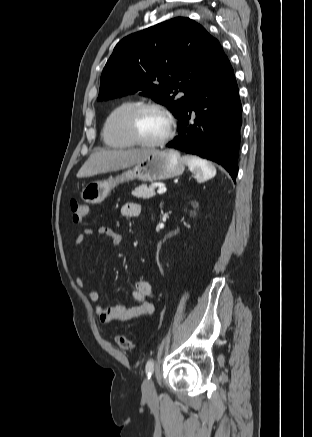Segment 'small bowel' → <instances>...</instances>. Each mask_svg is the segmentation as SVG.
I'll return each instance as SVG.
<instances>
[{
  "label": "small bowel",
  "mask_w": 312,
  "mask_h": 437,
  "mask_svg": "<svg viewBox=\"0 0 312 437\" xmlns=\"http://www.w3.org/2000/svg\"><path fill=\"white\" fill-rule=\"evenodd\" d=\"M141 212V207L136 202H127L121 208V213L124 217L132 218L137 217ZM97 233L100 236H106L110 238L113 246H120L123 242L121 234L115 232L112 228L102 226L98 229ZM92 234L91 229H85L76 238V245L81 246L85 242V238ZM76 283L79 287L83 286L81 278H76ZM153 295L151 285L146 280H138L135 282V287L132 293V297L135 304L132 306L127 305H115L104 306L98 303L100 295L97 291L90 290L87 292L88 299L91 302L97 303L94 311L99 321L102 324H108L112 321H128L131 319L139 318L142 316L151 315L154 312V306L149 301Z\"/></svg>",
  "instance_id": "small-bowel-1"
}]
</instances>
